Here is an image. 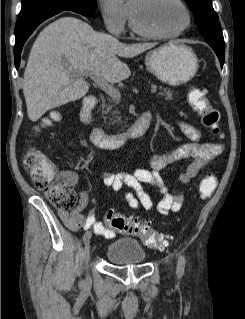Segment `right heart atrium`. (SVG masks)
Instances as JSON below:
<instances>
[{
  "label": "right heart atrium",
  "mask_w": 245,
  "mask_h": 319,
  "mask_svg": "<svg viewBox=\"0 0 245 319\" xmlns=\"http://www.w3.org/2000/svg\"><path fill=\"white\" fill-rule=\"evenodd\" d=\"M99 11L106 29L114 35L125 31L128 10L120 0H98Z\"/></svg>",
  "instance_id": "obj_1"
}]
</instances>
